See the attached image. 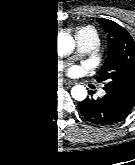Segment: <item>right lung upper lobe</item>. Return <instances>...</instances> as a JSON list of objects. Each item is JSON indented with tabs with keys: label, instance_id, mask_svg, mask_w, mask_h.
<instances>
[{
	"label": "right lung upper lobe",
	"instance_id": "obj_1",
	"mask_svg": "<svg viewBox=\"0 0 135 165\" xmlns=\"http://www.w3.org/2000/svg\"><path fill=\"white\" fill-rule=\"evenodd\" d=\"M48 29V22L40 18L22 19L0 26V63L7 60L36 71L42 37Z\"/></svg>",
	"mask_w": 135,
	"mask_h": 165
}]
</instances>
